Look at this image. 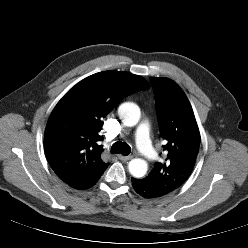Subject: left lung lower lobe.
I'll return each instance as SVG.
<instances>
[{
  "mask_svg": "<svg viewBox=\"0 0 248 248\" xmlns=\"http://www.w3.org/2000/svg\"><path fill=\"white\" fill-rule=\"evenodd\" d=\"M132 185L135 191L144 198H158L161 195L156 192L151 186L141 180L132 178Z\"/></svg>",
  "mask_w": 248,
  "mask_h": 248,
  "instance_id": "1",
  "label": "left lung lower lobe"
}]
</instances>
